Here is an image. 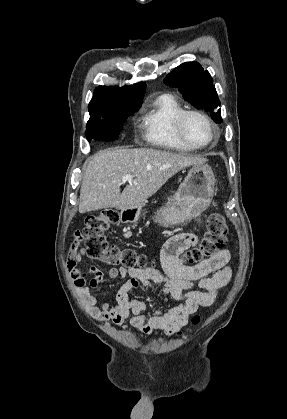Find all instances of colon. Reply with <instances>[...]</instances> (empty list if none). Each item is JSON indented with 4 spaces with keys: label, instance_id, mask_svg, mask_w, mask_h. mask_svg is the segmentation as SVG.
Segmentation results:
<instances>
[{
    "label": "colon",
    "instance_id": "1",
    "mask_svg": "<svg viewBox=\"0 0 287 419\" xmlns=\"http://www.w3.org/2000/svg\"><path fill=\"white\" fill-rule=\"evenodd\" d=\"M118 212L104 209L97 214L88 216L85 228L78 233L79 243H83L90 258L99 259L109 265L125 268H147L145 256L138 255L134 250L110 244L106 234L118 222ZM228 227L224 217L212 213L206 223L205 235L200 245L188 251L184 260L191 264H199L225 249ZM199 315L192 318V324L198 325Z\"/></svg>",
    "mask_w": 287,
    "mask_h": 419
}]
</instances>
